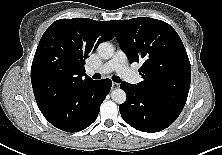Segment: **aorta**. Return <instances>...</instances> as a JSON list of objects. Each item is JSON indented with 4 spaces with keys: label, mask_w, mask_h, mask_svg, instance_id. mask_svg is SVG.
I'll use <instances>...</instances> for the list:
<instances>
[{
    "label": "aorta",
    "mask_w": 222,
    "mask_h": 155,
    "mask_svg": "<svg viewBox=\"0 0 222 155\" xmlns=\"http://www.w3.org/2000/svg\"><path fill=\"white\" fill-rule=\"evenodd\" d=\"M98 53L103 59H109L114 53V47L109 42H103L98 46ZM111 98L114 102L122 104L126 100V93L124 90L118 88L112 91Z\"/></svg>",
    "instance_id": "obj_1"
}]
</instances>
